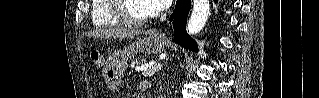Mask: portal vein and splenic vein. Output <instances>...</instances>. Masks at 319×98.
Returning a JSON list of instances; mask_svg holds the SVG:
<instances>
[{"label":"portal vein and splenic vein","mask_w":319,"mask_h":98,"mask_svg":"<svg viewBox=\"0 0 319 98\" xmlns=\"http://www.w3.org/2000/svg\"><path fill=\"white\" fill-rule=\"evenodd\" d=\"M161 68H162V64L158 63L153 66H143V67L137 68V70L143 71L142 74L144 76H152L153 74L161 70Z\"/></svg>","instance_id":"18ae733b"}]
</instances>
